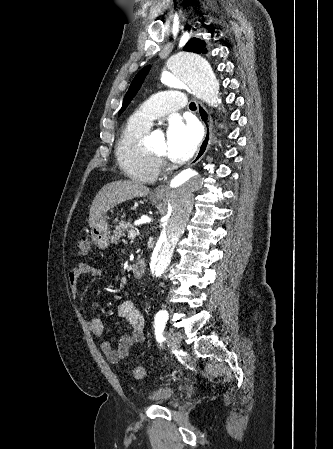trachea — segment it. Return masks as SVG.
Here are the masks:
<instances>
[{
	"instance_id": "3493384b",
	"label": "trachea",
	"mask_w": 333,
	"mask_h": 449,
	"mask_svg": "<svg viewBox=\"0 0 333 449\" xmlns=\"http://www.w3.org/2000/svg\"><path fill=\"white\" fill-rule=\"evenodd\" d=\"M189 107L191 110H196V105L194 102L190 103Z\"/></svg>"
}]
</instances>
